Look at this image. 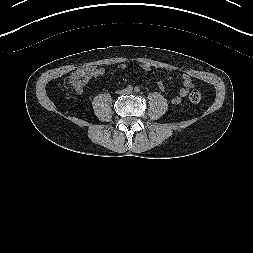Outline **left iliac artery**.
<instances>
[{
    "label": "left iliac artery",
    "mask_w": 253,
    "mask_h": 253,
    "mask_svg": "<svg viewBox=\"0 0 253 253\" xmlns=\"http://www.w3.org/2000/svg\"><path fill=\"white\" fill-rule=\"evenodd\" d=\"M134 90H135L136 92H139V91H140V87L136 86Z\"/></svg>",
    "instance_id": "44dca946"
}]
</instances>
